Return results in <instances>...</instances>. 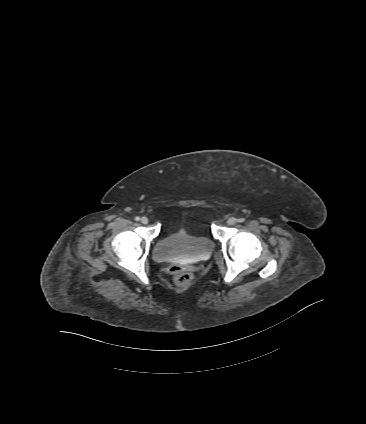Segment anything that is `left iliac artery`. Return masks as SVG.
I'll use <instances>...</instances> for the list:
<instances>
[{"instance_id":"1","label":"left iliac artery","mask_w":366,"mask_h":424,"mask_svg":"<svg viewBox=\"0 0 366 424\" xmlns=\"http://www.w3.org/2000/svg\"><path fill=\"white\" fill-rule=\"evenodd\" d=\"M245 221V219L244 218H240V219H238V222H244Z\"/></svg>"}]
</instances>
